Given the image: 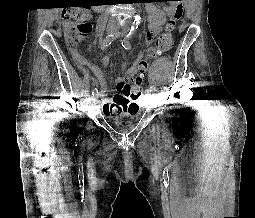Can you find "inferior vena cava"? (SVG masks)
<instances>
[{"label": "inferior vena cava", "mask_w": 255, "mask_h": 218, "mask_svg": "<svg viewBox=\"0 0 255 218\" xmlns=\"http://www.w3.org/2000/svg\"><path fill=\"white\" fill-rule=\"evenodd\" d=\"M108 27L110 28H116V20L114 18L109 19Z\"/></svg>", "instance_id": "obj_1"}]
</instances>
